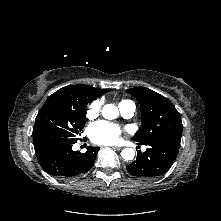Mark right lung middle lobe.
I'll return each instance as SVG.
<instances>
[{"label": "right lung middle lobe", "mask_w": 221, "mask_h": 221, "mask_svg": "<svg viewBox=\"0 0 221 221\" xmlns=\"http://www.w3.org/2000/svg\"><path fill=\"white\" fill-rule=\"evenodd\" d=\"M81 98L75 102L64 95L52 94L38 112L33 129L35 151L54 143H75L86 123V106Z\"/></svg>", "instance_id": "right-lung-middle-lobe-1"}]
</instances>
